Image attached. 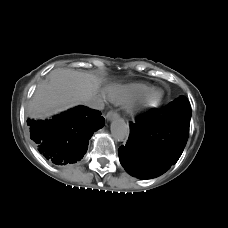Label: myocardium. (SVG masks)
Returning <instances> with one entry per match:
<instances>
[{
	"label": "myocardium",
	"mask_w": 228,
	"mask_h": 228,
	"mask_svg": "<svg viewBox=\"0 0 228 228\" xmlns=\"http://www.w3.org/2000/svg\"><path fill=\"white\" fill-rule=\"evenodd\" d=\"M157 94V98L154 101H149L148 98L152 94ZM163 91L158 88H150L148 91L140 95L134 101L130 102L128 105V111L131 114L137 115L142 114L146 111L156 108L163 99Z\"/></svg>",
	"instance_id": "obj_1"
}]
</instances>
